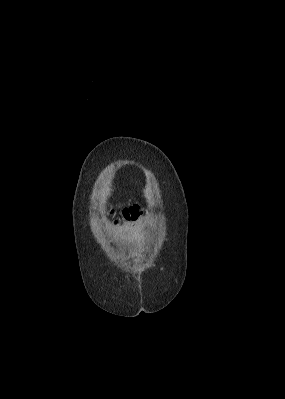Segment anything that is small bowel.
<instances>
[{
	"instance_id": "1",
	"label": "small bowel",
	"mask_w": 285,
	"mask_h": 399,
	"mask_svg": "<svg viewBox=\"0 0 285 399\" xmlns=\"http://www.w3.org/2000/svg\"><path fill=\"white\" fill-rule=\"evenodd\" d=\"M137 214V213H139V209H125L124 211H123V215L125 216V217H127V218H129L130 217V215H133V214Z\"/></svg>"
}]
</instances>
